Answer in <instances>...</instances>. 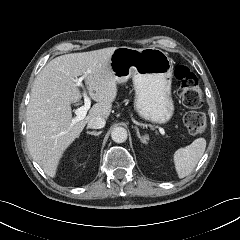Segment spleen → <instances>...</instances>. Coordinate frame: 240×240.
Segmentation results:
<instances>
[{
  "mask_svg": "<svg viewBox=\"0 0 240 240\" xmlns=\"http://www.w3.org/2000/svg\"><path fill=\"white\" fill-rule=\"evenodd\" d=\"M206 149L204 138L195 139L190 145L174 153V163L179 178L188 176L201 159Z\"/></svg>",
  "mask_w": 240,
  "mask_h": 240,
  "instance_id": "1",
  "label": "spleen"
}]
</instances>
